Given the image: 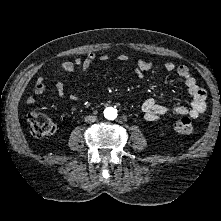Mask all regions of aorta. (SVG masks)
<instances>
[{
    "instance_id": "aorta-1",
    "label": "aorta",
    "mask_w": 221,
    "mask_h": 221,
    "mask_svg": "<svg viewBox=\"0 0 221 221\" xmlns=\"http://www.w3.org/2000/svg\"><path fill=\"white\" fill-rule=\"evenodd\" d=\"M104 116L108 120H114L117 117V109L113 107L105 108Z\"/></svg>"
}]
</instances>
